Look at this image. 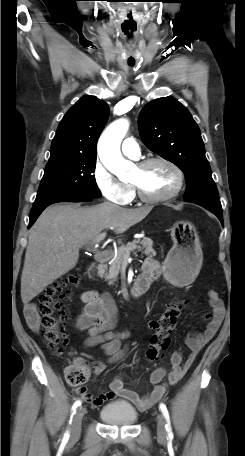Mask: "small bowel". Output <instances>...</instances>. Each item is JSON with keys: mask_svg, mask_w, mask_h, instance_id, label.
I'll return each mask as SVG.
<instances>
[{"mask_svg": "<svg viewBox=\"0 0 245 456\" xmlns=\"http://www.w3.org/2000/svg\"><path fill=\"white\" fill-rule=\"evenodd\" d=\"M147 265L154 266L158 271V264L153 259H148ZM211 312L205 316L207 325L203 332H193L186 337V344L190 353L186 360L180 352H174L171 356L170 370L159 367L155 369L151 376V383L154 384L153 390L146 396H140L135 391L124 387L122 376L116 377L110 384V390L106 393L94 397L86 387L81 386L76 389L77 394L92 407L96 408L115 397L129 400L138 409L145 410L153 406L165 393L167 383L175 385L186 374L193 364L201 349L213 338L220 327L224 315L225 306L219 294L213 290L208 292ZM81 301L84 308L75 320V327L86 331V345L89 347L100 345L104 353L109 356V362L115 363L122 360L126 351L121 349V342L130 336L128 331L114 333L112 329L117 321L116 305L108 293L99 295L98 293L87 290L81 294ZM25 318L29 327L37 331L39 329V316L34 304H28L24 310ZM83 361L82 359H78ZM84 362V361H83ZM95 375L100 374L105 364L96 361L93 363Z\"/></svg>", "mask_w": 245, "mask_h": 456, "instance_id": "1", "label": "small bowel"}]
</instances>
